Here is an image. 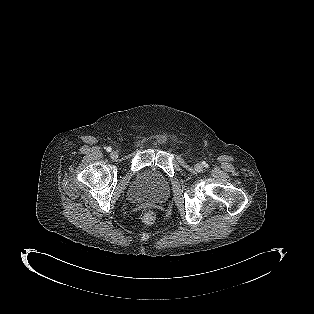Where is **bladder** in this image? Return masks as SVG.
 <instances>
[{"label":"bladder","mask_w":314,"mask_h":314,"mask_svg":"<svg viewBox=\"0 0 314 314\" xmlns=\"http://www.w3.org/2000/svg\"><path fill=\"white\" fill-rule=\"evenodd\" d=\"M170 192L167 178L158 170L146 169L139 174L128 189V197L132 201H148L161 203Z\"/></svg>","instance_id":"1"}]
</instances>
